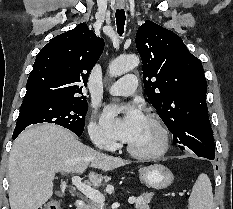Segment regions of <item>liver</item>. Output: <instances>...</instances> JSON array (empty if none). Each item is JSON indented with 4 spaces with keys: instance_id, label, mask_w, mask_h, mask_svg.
<instances>
[{
    "instance_id": "obj_1",
    "label": "liver",
    "mask_w": 233,
    "mask_h": 209,
    "mask_svg": "<svg viewBox=\"0 0 233 209\" xmlns=\"http://www.w3.org/2000/svg\"><path fill=\"white\" fill-rule=\"evenodd\" d=\"M129 164L84 145L73 133L53 124L32 126L14 141L8 162L11 209H39L53 195L58 172L83 173L88 167L111 171ZM94 186L111 180L90 172Z\"/></svg>"
}]
</instances>
